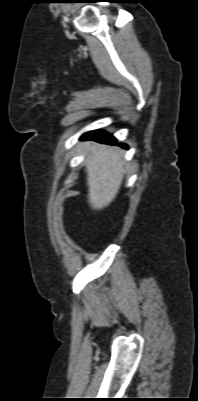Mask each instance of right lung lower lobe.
Wrapping results in <instances>:
<instances>
[{
  "label": "right lung lower lobe",
  "instance_id": "1",
  "mask_svg": "<svg viewBox=\"0 0 198 401\" xmlns=\"http://www.w3.org/2000/svg\"><path fill=\"white\" fill-rule=\"evenodd\" d=\"M82 139L83 140H95V141L107 143V144H116V139L114 137H112L111 135H109L103 131H100V130H95V131L85 133L82 136ZM120 145L127 148V146L124 144H120Z\"/></svg>",
  "mask_w": 198,
  "mask_h": 401
}]
</instances>
